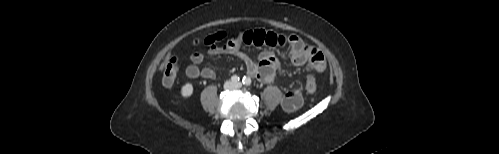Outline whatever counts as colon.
I'll return each instance as SVG.
<instances>
[{"mask_svg": "<svg viewBox=\"0 0 499 154\" xmlns=\"http://www.w3.org/2000/svg\"><path fill=\"white\" fill-rule=\"evenodd\" d=\"M179 59L176 56L168 59L161 67L162 83L165 86H171L178 73ZM305 88L308 94L314 95L317 92V83L313 76H309L306 80Z\"/></svg>", "mask_w": 499, "mask_h": 154, "instance_id": "5ec220e1", "label": "colon"}]
</instances>
